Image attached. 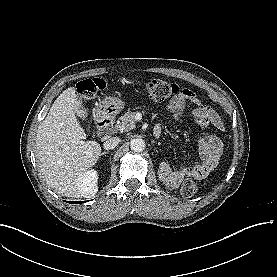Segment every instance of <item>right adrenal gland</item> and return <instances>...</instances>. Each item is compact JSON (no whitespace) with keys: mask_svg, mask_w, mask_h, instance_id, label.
<instances>
[{"mask_svg":"<svg viewBox=\"0 0 277 277\" xmlns=\"http://www.w3.org/2000/svg\"><path fill=\"white\" fill-rule=\"evenodd\" d=\"M106 154H109V151H104L100 154V156H103V155H106Z\"/></svg>","mask_w":277,"mask_h":277,"instance_id":"2a0ac1e0","label":"right adrenal gland"}]
</instances>
